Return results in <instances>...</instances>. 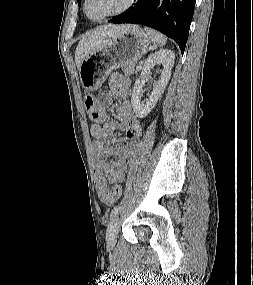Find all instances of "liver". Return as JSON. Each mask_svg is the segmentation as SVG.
<instances>
[{
    "instance_id": "1",
    "label": "liver",
    "mask_w": 253,
    "mask_h": 285,
    "mask_svg": "<svg viewBox=\"0 0 253 285\" xmlns=\"http://www.w3.org/2000/svg\"><path fill=\"white\" fill-rule=\"evenodd\" d=\"M134 25H106L87 32L77 45L75 62L79 69L82 60L90 53L104 47L113 39L133 28Z\"/></svg>"
}]
</instances>
